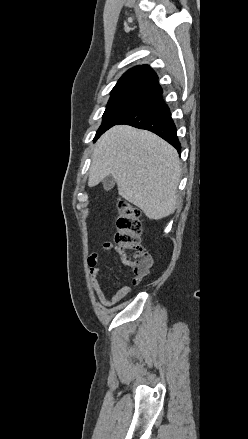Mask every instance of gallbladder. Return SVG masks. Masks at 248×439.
Masks as SVG:
<instances>
[{
	"mask_svg": "<svg viewBox=\"0 0 248 439\" xmlns=\"http://www.w3.org/2000/svg\"><path fill=\"white\" fill-rule=\"evenodd\" d=\"M115 183H116V181H115V179H114V177L112 175H109V176L105 177L103 179V188H104V190H106V191L111 190L114 187Z\"/></svg>",
	"mask_w": 248,
	"mask_h": 439,
	"instance_id": "bac80fb5",
	"label": "gallbladder"
}]
</instances>
